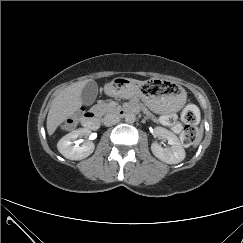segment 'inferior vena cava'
I'll use <instances>...</instances> for the list:
<instances>
[{
  "instance_id": "602c4592",
  "label": "inferior vena cava",
  "mask_w": 243,
  "mask_h": 243,
  "mask_svg": "<svg viewBox=\"0 0 243 243\" xmlns=\"http://www.w3.org/2000/svg\"><path fill=\"white\" fill-rule=\"evenodd\" d=\"M119 121H120L119 116L114 113L107 114L103 118V123L105 126H112L114 124H117Z\"/></svg>"
}]
</instances>
